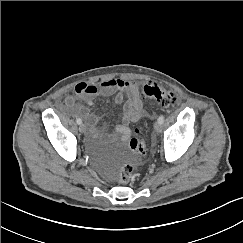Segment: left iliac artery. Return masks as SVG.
<instances>
[{"label":"left iliac artery","instance_id":"obj_1","mask_svg":"<svg viewBox=\"0 0 243 243\" xmlns=\"http://www.w3.org/2000/svg\"><path fill=\"white\" fill-rule=\"evenodd\" d=\"M164 118H165L164 115H161V116L158 118V122L162 124V123L164 122Z\"/></svg>","mask_w":243,"mask_h":243}]
</instances>
